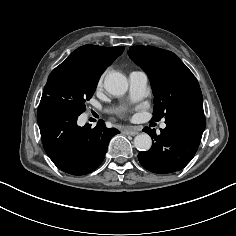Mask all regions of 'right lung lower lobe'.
Instances as JSON below:
<instances>
[{
	"label": "right lung lower lobe",
	"mask_w": 236,
	"mask_h": 236,
	"mask_svg": "<svg viewBox=\"0 0 236 236\" xmlns=\"http://www.w3.org/2000/svg\"><path fill=\"white\" fill-rule=\"evenodd\" d=\"M79 113L64 99L42 98L37 112L44 149L58 169L71 175L92 172L102 163L110 139L119 132L107 129L100 121L96 127H79Z\"/></svg>",
	"instance_id": "1"
}]
</instances>
